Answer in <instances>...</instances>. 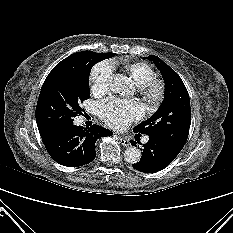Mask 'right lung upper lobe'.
Returning <instances> with one entry per match:
<instances>
[{
    "mask_svg": "<svg viewBox=\"0 0 233 233\" xmlns=\"http://www.w3.org/2000/svg\"><path fill=\"white\" fill-rule=\"evenodd\" d=\"M72 57H73V55H71V56H69V57L65 58V59H64V60H62V61H63V62L69 61Z\"/></svg>",
    "mask_w": 233,
    "mask_h": 233,
    "instance_id": "right-lung-upper-lobe-1",
    "label": "right lung upper lobe"
}]
</instances>
